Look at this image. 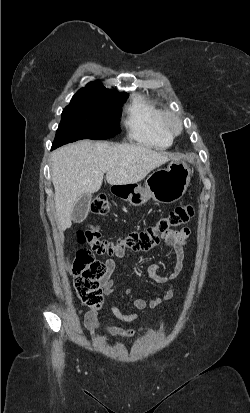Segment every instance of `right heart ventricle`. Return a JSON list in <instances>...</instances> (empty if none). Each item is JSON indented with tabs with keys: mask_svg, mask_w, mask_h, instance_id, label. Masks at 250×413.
<instances>
[{
	"mask_svg": "<svg viewBox=\"0 0 250 413\" xmlns=\"http://www.w3.org/2000/svg\"><path fill=\"white\" fill-rule=\"evenodd\" d=\"M162 113L163 110L151 97L135 96L126 110L124 121L128 138L159 149L169 147L172 137L161 127Z\"/></svg>",
	"mask_w": 250,
	"mask_h": 413,
	"instance_id": "e07e8e85",
	"label": "right heart ventricle"
}]
</instances>
